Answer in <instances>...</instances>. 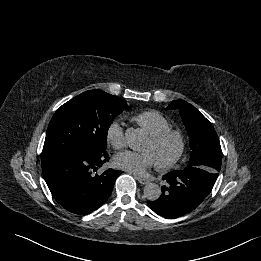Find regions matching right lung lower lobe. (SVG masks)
Wrapping results in <instances>:
<instances>
[{
	"label": "right lung lower lobe",
	"mask_w": 261,
	"mask_h": 261,
	"mask_svg": "<svg viewBox=\"0 0 261 261\" xmlns=\"http://www.w3.org/2000/svg\"><path fill=\"white\" fill-rule=\"evenodd\" d=\"M109 160L107 152L59 151L42 155V173L55 200L66 210L89 214L109 198L116 178L123 173L108 169L95 174Z\"/></svg>",
	"instance_id": "obj_1"
}]
</instances>
